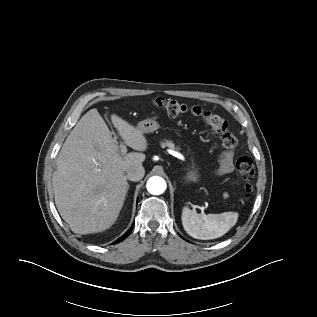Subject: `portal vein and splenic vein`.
<instances>
[{"mask_svg":"<svg viewBox=\"0 0 317 317\" xmlns=\"http://www.w3.org/2000/svg\"><path fill=\"white\" fill-rule=\"evenodd\" d=\"M120 148H121V154L124 155V154L127 152L126 146H125L123 143H121V144H120ZM171 154H172L173 156H176V157H177V155H178V153H177V152H174V151H172Z\"/></svg>","mask_w":317,"mask_h":317,"instance_id":"portal-vein-and-splenic-vein-1","label":"portal vein and splenic vein"}]
</instances>
